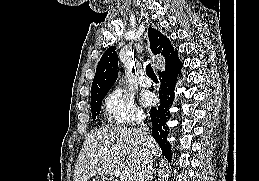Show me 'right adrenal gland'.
<instances>
[{
  "mask_svg": "<svg viewBox=\"0 0 259 181\" xmlns=\"http://www.w3.org/2000/svg\"><path fill=\"white\" fill-rule=\"evenodd\" d=\"M153 173L150 175V179H149V181H153Z\"/></svg>",
  "mask_w": 259,
  "mask_h": 181,
  "instance_id": "obj_1",
  "label": "right adrenal gland"
}]
</instances>
